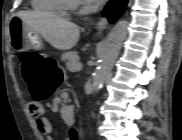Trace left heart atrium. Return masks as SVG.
I'll return each mask as SVG.
<instances>
[{"mask_svg": "<svg viewBox=\"0 0 182 140\" xmlns=\"http://www.w3.org/2000/svg\"><path fill=\"white\" fill-rule=\"evenodd\" d=\"M92 2H99V0H92Z\"/></svg>", "mask_w": 182, "mask_h": 140, "instance_id": "left-heart-atrium-1", "label": "left heart atrium"}]
</instances>
